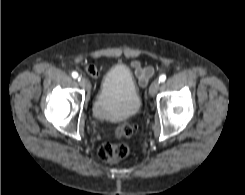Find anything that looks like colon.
<instances>
[{
  "label": "colon",
  "mask_w": 245,
  "mask_h": 195,
  "mask_svg": "<svg viewBox=\"0 0 245 195\" xmlns=\"http://www.w3.org/2000/svg\"><path fill=\"white\" fill-rule=\"evenodd\" d=\"M134 125L131 123L121 124L116 131L117 141L103 144L98 151L100 159L106 163H118L126 158L130 152L129 146L122 142L133 133Z\"/></svg>",
  "instance_id": "colon-1"
}]
</instances>
